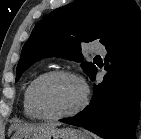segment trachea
I'll return each instance as SVG.
<instances>
[{"label":"trachea","mask_w":141,"mask_h":139,"mask_svg":"<svg viewBox=\"0 0 141 139\" xmlns=\"http://www.w3.org/2000/svg\"><path fill=\"white\" fill-rule=\"evenodd\" d=\"M95 58H100V56H96Z\"/></svg>","instance_id":"trachea-1"}]
</instances>
